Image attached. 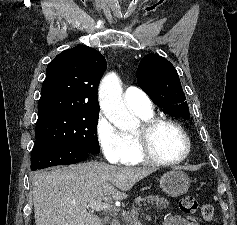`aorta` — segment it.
<instances>
[{
	"mask_svg": "<svg viewBox=\"0 0 237 225\" xmlns=\"http://www.w3.org/2000/svg\"><path fill=\"white\" fill-rule=\"evenodd\" d=\"M98 96L103 113L114 126L122 131H130L138 126V119L125 106L120 79L116 73H109L102 79Z\"/></svg>",
	"mask_w": 237,
	"mask_h": 225,
	"instance_id": "obj_1",
	"label": "aorta"
}]
</instances>
